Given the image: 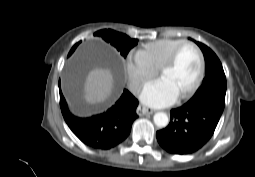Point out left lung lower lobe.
Here are the masks:
<instances>
[{"label":"left lung lower lobe","instance_id":"obj_1","mask_svg":"<svg viewBox=\"0 0 255 177\" xmlns=\"http://www.w3.org/2000/svg\"><path fill=\"white\" fill-rule=\"evenodd\" d=\"M223 110L213 101L172 109L169 125L156 133L160 146L171 154L196 152L212 137Z\"/></svg>","mask_w":255,"mask_h":177}]
</instances>
